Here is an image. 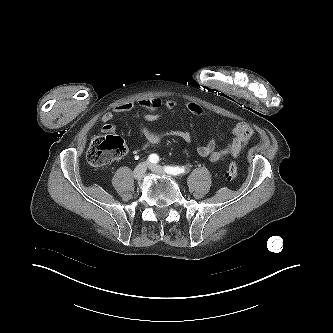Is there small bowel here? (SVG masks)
Wrapping results in <instances>:
<instances>
[{
  "instance_id": "c3829d8e",
  "label": "small bowel",
  "mask_w": 333,
  "mask_h": 333,
  "mask_svg": "<svg viewBox=\"0 0 333 333\" xmlns=\"http://www.w3.org/2000/svg\"><path fill=\"white\" fill-rule=\"evenodd\" d=\"M136 105L149 111L142 117L141 124V131L147 142L141 145L138 150L145 149L150 144L163 142L168 138H180L186 142L191 141L192 135L188 130L173 129L158 133L150 128L149 123L159 119L162 110H172L177 106L176 100H162L159 97H145L139 99L136 103L126 102L115 106L110 111L103 114L101 118V131L106 134L116 133V126L111 124L110 121L118 114L127 113L133 110ZM186 108L191 114L197 116H204L206 114L204 109L195 102H188ZM231 133L233 138L224 147L217 149L216 140L211 138L197 148L198 155L203 158H208L212 162L226 161L228 156L234 159L239 157L248 143L254 139L255 132L250 125L241 122L232 128Z\"/></svg>"
}]
</instances>
